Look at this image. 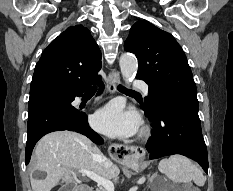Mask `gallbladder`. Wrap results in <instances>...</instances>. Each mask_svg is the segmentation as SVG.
Instances as JSON below:
<instances>
[{
  "instance_id": "bac80fb5",
  "label": "gallbladder",
  "mask_w": 233,
  "mask_h": 191,
  "mask_svg": "<svg viewBox=\"0 0 233 191\" xmlns=\"http://www.w3.org/2000/svg\"><path fill=\"white\" fill-rule=\"evenodd\" d=\"M73 187H74V184L73 183H70V184H66L64 186H62L59 191H73Z\"/></svg>"
}]
</instances>
